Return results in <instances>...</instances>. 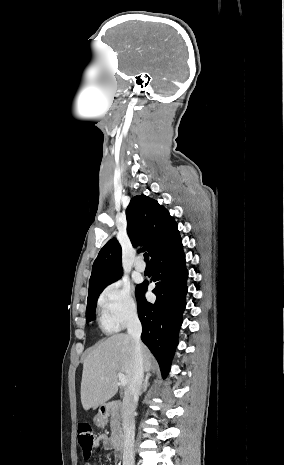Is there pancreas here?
<instances>
[{"label": "pancreas", "mask_w": 284, "mask_h": 465, "mask_svg": "<svg viewBox=\"0 0 284 465\" xmlns=\"http://www.w3.org/2000/svg\"><path fill=\"white\" fill-rule=\"evenodd\" d=\"M111 419H110V427L112 431V437H114L115 433L117 431H120V421H121V413L120 411H117V409H113L110 413Z\"/></svg>", "instance_id": "obj_1"}]
</instances>
